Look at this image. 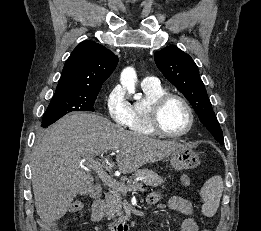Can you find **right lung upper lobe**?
Returning <instances> with one entry per match:
<instances>
[{"mask_svg":"<svg viewBox=\"0 0 261 231\" xmlns=\"http://www.w3.org/2000/svg\"><path fill=\"white\" fill-rule=\"evenodd\" d=\"M118 57L104 46L83 41L66 60L56 91L100 90Z\"/></svg>","mask_w":261,"mask_h":231,"instance_id":"obj_1","label":"right lung upper lobe"}]
</instances>
